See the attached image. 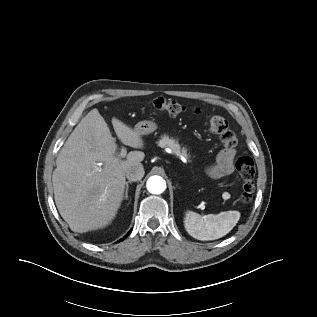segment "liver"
<instances>
[{
    "mask_svg": "<svg viewBox=\"0 0 317 317\" xmlns=\"http://www.w3.org/2000/svg\"><path fill=\"white\" fill-rule=\"evenodd\" d=\"M112 124L123 144L143 148L138 131L115 117ZM116 150V141L97 109L80 121L61 148L52 175L54 198L72 231L103 228L115 218L124 197L126 172L142 165L145 157L141 151H131L126 160H120Z\"/></svg>",
    "mask_w": 317,
    "mask_h": 317,
    "instance_id": "6515ba94",
    "label": "liver"
}]
</instances>
